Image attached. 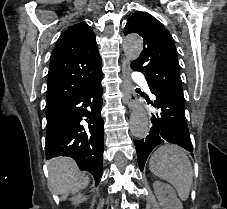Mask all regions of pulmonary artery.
Returning a JSON list of instances; mask_svg holds the SVG:
<instances>
[{
    "label": "pulmonary artery",
    "instance_id": "obj_1",
    "mask_svg": "<svg viewBox=\"0 0 227 209\" xmlns=\"http://www.w3.org/2000/svg\"><path fill=\"white\" fill-rule=\"evenodd\" d=\"M131 78L133 79L134 83H139L140 79L139 78H143V73H131Z\"/></svg>",
    "mask_w": 227,
    "mask_h": 209
}]
</instances>
